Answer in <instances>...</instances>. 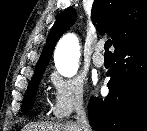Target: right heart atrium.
Wrapping results in <instances>:
<instances>
[{
  "mask_svg": "<svg viewBox=\"0 0 147 131\" xmlns=\"http://www.w3.org/2000/svg\"><path fill=\"white\" fill-rule=\"evenodd\" d=\"M50 82L53 87L52 113L56 119L65 120L83 110L85 82L81 78L65 77L53 72Z\"/></svg>",
  "mask_w": 147,
  "mask_h": 131,
  "instance_id": "1",
  "label": "right heart atrium"
}]
</instances>
